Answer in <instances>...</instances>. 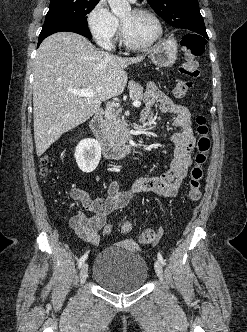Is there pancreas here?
Returning <instances> with one entry per match:
<instances>
[{
    "instance_id": "pancreas-1",
    "label": "pancreas",
    "mask_w": 247,
    "mask_h": 332,
    "mask_svg": "<svg viewBox=\"0 0 247 332\" xmlns=\"http://www.w3.org/2000/svg\"><path fill=\"white\" fill-rule=\"evenodd\" d=\"M129 94L132 100L143 99V87L138 83H132L129 86ZM120 111L116 112L119 116ZM108 137L115 146H123L129 139L130 135L127 130V123L124 119L117 117L112 123L107 126Z\"/></svg>"
}]
</instances>
